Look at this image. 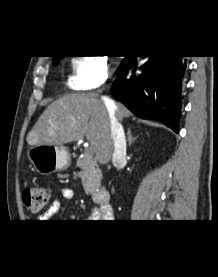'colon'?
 Wrapping results in <instances>:
<instances>
[{"label": "colon", "mask_w": 218, "mask_h": 277, "mask_svg": "<svg viewBox=\"0 0 218 277\" xmlns=\"http://www.w3.org/2000/svg\"><path fill=\"white\" fill-rule=\"evenodd\" d=\"M50 200V191L43 186L29 187L23 192V203L31 213L41 212Z\"/></svg>", "instance_id": "obj_1"}]
</instances>
